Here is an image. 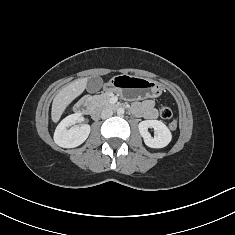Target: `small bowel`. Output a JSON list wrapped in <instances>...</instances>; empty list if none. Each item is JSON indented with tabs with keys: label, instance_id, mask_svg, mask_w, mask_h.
I'll list each match as a JSON object with an SVG mask.
<instances>
[{
	"label": "small bowel",
	"instance_id": "small-bowel-1",
	"mask_svg": "<svg viewBox=\"0 0 235 235\" xmlns=\"http://www.w3.org/2000/svg\"><path fill=\"white\" fill-rule=\"evenodd\" d=\"M133 112L135 115L142 116L148 120H152L157 117V111L154 107V102L152 100L135 102L133 104Z\"/></svg>",
	"mask_w": 235,
	"mask_h": 235
}]
</instances>
